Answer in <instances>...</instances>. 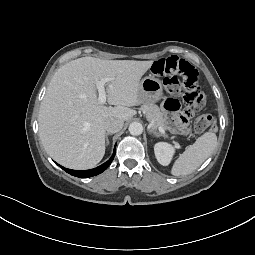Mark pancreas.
<instances>
[{
  "label": "pancreas",
  "mask_w": 255,
  "mask_h": 255,
  "mask_svg": "<svg viewBox=\"0 0 255 255\" xmlns=\"http://www.w3.org/2000/svg\"><path fill=\"white\" fill-rule=\"evenodd\" d=\"M141 110L146 115L147 120L152 124V128L154 130L158 129L159 127L166 129L163 114L157 105L143 104Z\"/></svg>",
  "instance_id": "cf45deb5"
}]
</instances>
